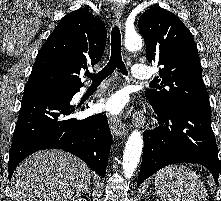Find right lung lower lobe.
<instances>
[{"label":"right lung lower lobe","mask_w":221,"mask_h":201,"mask_svg":"<svg viewBox=\"0 0 221 201\" xmlns=\"http://www.w3.org/2000/svg\"><path fill=\"white\" fill-rule=\"evenodd\" d=\"M79 89L57 95L24 93L10 150L9 179L28 155L49 148L70 152L105 175L112 140L108 121L104 114L72 117L79 106L70 101Z\"/></svg>","instance_id":"obj_1"}]
</instances>
